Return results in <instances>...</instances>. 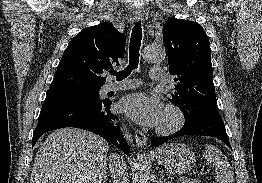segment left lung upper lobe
Listing matches in <instances>:
<instances>
[{"mask_svg":"<svg viewBox=\"0 0 262 183\" xmlns=\"http://www.w3.org/2000/svg\"><path fill=\"white\" fill-rule=\"evenodd\" d=\"M169 69L177 78L172 101L188 118L192 114H219L213 84L211 48L201 25L170 18L163 26Z\"/></svg>","mask_w":262,"mask_h":183,"instance_id":"1","label":"left lung upper lobe"}]
</instances>
